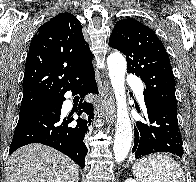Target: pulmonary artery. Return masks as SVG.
Here are the masks:
<instances>
[{"mask_svg":"<svg viewBox=\"0 0 196 182\" xmlns=\"http://www.w3.org/2000/svg\"><path fill=\"white\" fill-rule=\"evenodd\" d=\"M128 84L135 87V93L137 98L140 100L141 103H144L143 90L140 87H137L139 85L138 78L130 75L128 78Z\"/></svg>","mask_w":196,"mask_h":182,"instance_id":"e3ab8cb5","label":"pulmonary artery"}]
</instances>
